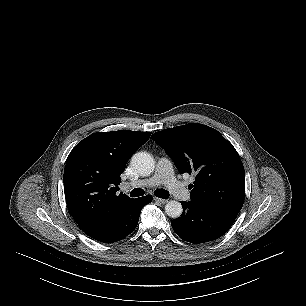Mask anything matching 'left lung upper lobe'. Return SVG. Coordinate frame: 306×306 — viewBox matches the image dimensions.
<instances>
[{
	"label": "left lung upper lobe",
	"mask_w": 306,
	"mask_h": 306,
	"mask_svg": "<svg viewBox=\"0 0 306 306\" xmlns=\"http://www.w3.org/2000/svg\"><path fill=\"white\" fill-rule=\"evenodd\" d=\"M151 138L175 162L181 173L195 175L191 201L202 206L239 212L245 198L241 159L220 132L189 123L154 133Z\"/></svg>",
	"instance_id": "5c2ea615"
}]
</instances>
